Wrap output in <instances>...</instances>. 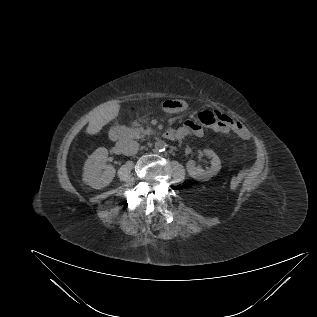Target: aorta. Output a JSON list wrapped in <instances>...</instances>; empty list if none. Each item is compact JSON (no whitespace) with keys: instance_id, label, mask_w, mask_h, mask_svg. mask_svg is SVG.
Here are the masks:
<instances>
[{"instance_id":"762f6f07","label":"aorta","mask_w":317,"mask_h":317,"mask_svg":"<svg viewBox=\"0 0 317 317\" xmlns=\"http://www.w3.org/2000/svg\"><path fill=\"white\" fill-rule=\"evenodd\" d=\"M166 147V143L162 140H158L155 142V149L158 151H164Z\"/></svg>"}]
</instances>
